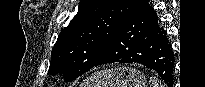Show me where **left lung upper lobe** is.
Wrapping results in <instances>:
<instances>
[{
	"label": "left lung upper lobe",
	"instance_id": "5c2ea615",
	"mask_svg": "<svg viewBox=\"0 0 205 87\" xmlns=\"http://www.w3.org/2000/svg\"><path fill=\"white\" fill-rule=\"evenodd\" d=\"M137 0H81L77 14L58 36L49 74L70 82L93 68Z\"/></svg>",
	"mask_w": 205,
	"mask_h": 87
}]
</instances>
